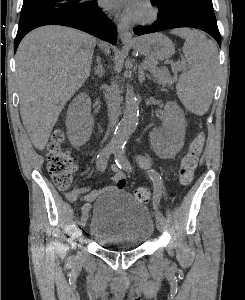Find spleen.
Here are the masks:
<instances>
[{
	"mask_svg": "<svg viewBox=\"0 0 245 300\" xmlns=\"http://www.w3.org/2000/svg\"><path fill=\"white\" fill-rule=\"evenodd\" d=\"M172 33L185 39L183 53L190 64V69L180 76L177 95L190 112L204 115L212 102L218 66L217 47L196 30L176 29Z\"/></svg>",
	"mask_w": 245,
	"mask_h": 300,
	"instance_id": "obj_1",
	"label": "spleen"
}]
</instances>
